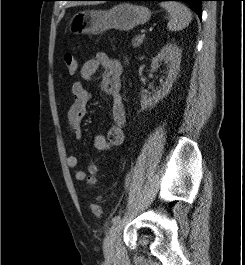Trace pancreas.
Segmentation results:
<instances>
[{
  "label": "pancreas",
  "mask_w": 245,
  "mask_h": 265,
  "mask_svg": "<svg viewBox=\"0 0 245 265\" xmlns=\"http://www.w3.org/2000/svg\"><path fill=\"white\" fill-rule=\"evenodd\" d=\"M143 40H144V39H143L140 35H137L136 37H134V38L132 39V46H133L134 48L140 47L141 44L143 43Z\"/></svg>",
  "instance_id": "cf45deb5"
}]
</instances>
